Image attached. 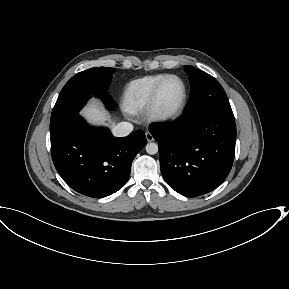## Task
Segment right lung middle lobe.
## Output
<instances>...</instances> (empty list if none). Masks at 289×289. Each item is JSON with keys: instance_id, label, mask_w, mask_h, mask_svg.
<instances>
[{"instance_id": "dd1d6c3e", "label": "right lung middle lobe", "mask_w": 289, "mask_h": 289, "mask_svg": "<svg viewBox=\"0 0 289 289\" xmlns=\"http://www.w3.org/2000/svg\"><path fill=\"white\" fill-rule=\"evenodd\" d=\"M114 70V68L96 67L72 77L63 87L53 108L50 133L77 115L91 95L103 94L111 81ZM102 96L107 108L115 107V103L108 96Z\"/></svg>"}]
</instances>
